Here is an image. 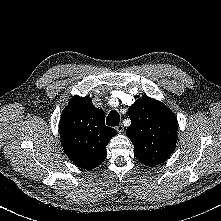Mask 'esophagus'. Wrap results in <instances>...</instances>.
<instances>
[{
    "label": "esophagus",
    "instance_id": "esophagus-1",
    "mask_svg": "<svg viewBox=\"0 0 221 221\" xmlns=\"http://www.w3.org/2000/svg\"><path fill=\"white\" fill-rule=\"evenodd\" d=\"M116 130L119 132V133H122L124 131V126L122 124H119L117 127H116Z\"/></svg>",
    "mask_w": 221,
    "mask_h": 221
}]
</instances>
